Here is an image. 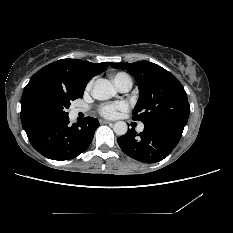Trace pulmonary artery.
I'll list each match as a JSON object with an SVG mask.
<instances>
[{
	"instance_id": "e3ab8cb5",
	"label": "pulmonary artery",
	"mask_w": 233,
	"mask_h": 233,
	"mask_svg": "<svg viewBox=\"0 0 233 233\" xmlns=\"http://www.w3.org/2000/svg\"><path fill=\"white\" fill-rule=\"evenodd\" d=\"M131 86H132V82H131V80H130V78H129V79H125V80L119 85V89H120L122 92H127V91L130 90ZM80 111H81L80 109H75V110H74L75 113H78V112H80ZM143 128H144V125L141 124V125L139 126L138 129H139L140 131H142Z\"/></svg>"
}]
</instances>
